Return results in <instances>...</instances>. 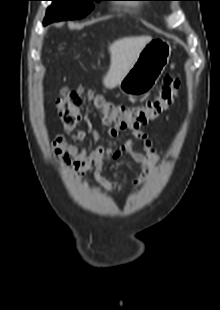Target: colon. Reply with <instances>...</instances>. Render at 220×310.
I'll use <instances>...</instances> for the list:
<instances>
[{
  "label": "colon",
  "instance_id": "1",
  "mask_svg": "<svg viewBox=\"0 0 220 310\" xmlns=\"http://www.w3.org/2000/svg\"><path fill=\"white\" fill-rule=\"evenodd\" d=\"M180 81L172 73L166 74L163 83L154 99L141 104L126 106L106 101L101 96H95L82 88L64 87L62 97L58 100L59 117L66 131H73L81 121L79 111L85 96L92 99L96 108L103 115L104 123L115 129L129 128L139 130L156 120L169 108L178 93Z\"/></svg>",
  "mask_w": 220,
  "mask_h": 310
}]
</instances>
